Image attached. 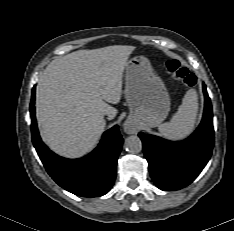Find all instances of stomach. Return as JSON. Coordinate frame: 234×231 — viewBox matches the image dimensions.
Returning <instances> with one entry per match:
<instances>
[{
    "label": "stomach",
    "mask_w": 234,
    "mask_h": 231,
    "mask_svg": "<svg viewBox=\"0 0 234 231\" xmlns=\"http://www.w3.org/2000/svg\"><path fill=\"white\" fill-rule=\"evenodd\" d=\"M125 99L130 119L156 127L170 111V98L165 85L153 73L150 61L143 56L127 60L125 65Z\"/></svg>",
    "instance_id": "0dacf381"
}]
</instances>
